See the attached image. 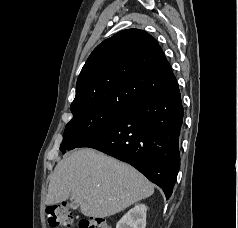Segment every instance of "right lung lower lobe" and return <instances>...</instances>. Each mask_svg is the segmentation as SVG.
I'll list each match as a JSON object with an SVG mask.
<instances>
[{
	"label": "right lung lower lobe",
	"instance_id": "98d812e1",
	"mask_svg": "<svg viewBox=\"0 0 238 228\" xmlns=\"http://www.w3.org/2000/svg\"><path fill=\"white\" fill-rule=\"evenodd\" d=\"M184 110L178 83L138 100L101 132L80 144L127 162L172 194L180 165Z\"/></svg>",
	"mask_w": 238,
	"mask_h": 228
}]
</instances>
